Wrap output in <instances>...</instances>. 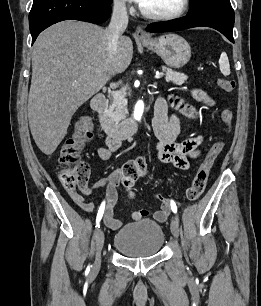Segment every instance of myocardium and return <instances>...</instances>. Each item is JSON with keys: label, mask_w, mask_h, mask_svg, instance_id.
Here are the masks:
<instances>
[{"label": "myocardium", "mask_w": 261, "mask_h": 306, "mask_svg": "<svg viewBox=\"0 0 261 306\" xmlns=\"http://www.w3.org/2000/svg\"><path fill=\"white\" fill-rule=\"evenodd\" d=\"M190 0H182L180 7L171 13H155L146 10L142 5L139 6L140 12L147 18L155 20H173L181 17L189 8Z\"/></svg>", "instance_id": "myocardium-1"}]
</instances>
